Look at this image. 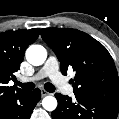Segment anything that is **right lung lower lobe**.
Listing matches in <instances>:
<instances>
[{
    "label": "right lung lower lobe",
    "mask_w": 119,
    "mask_h": 119,
    "mask_svg": "<svg viewBox=\"0 0 119 119\" xmlns=\"http://www.w3.org/2000/svg\"><path fill=\"white\" fill-rule=\"evenodd\" d=\"M41 98L39 89L16 91L0 96V119H29Z\"/></svg>",
    "instance_id": "1"
}]
</instances>
